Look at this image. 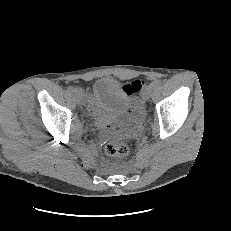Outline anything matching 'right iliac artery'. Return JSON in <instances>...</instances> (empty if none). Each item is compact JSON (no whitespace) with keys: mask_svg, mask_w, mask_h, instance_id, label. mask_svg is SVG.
<instances>
[{"mask_svg":"<svg viewBox=\"0 0 231 231\" xmlns=\"http://www.w3.org/2000/svg\"><path fill=\"white\" fill-rule=\"evenodd\" d=\"M67 89H68V91H69V92H74V90H75V88H74V87H72V86H68V88H67Z\"/></svg>","mask_w":231,"mask_h":231,"instance_id":"82829eb1","label":"right iliac artery"}]
</instances>
